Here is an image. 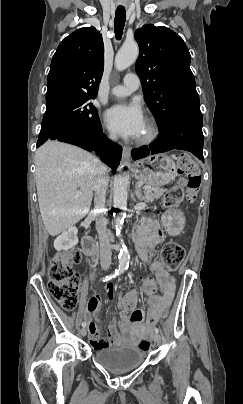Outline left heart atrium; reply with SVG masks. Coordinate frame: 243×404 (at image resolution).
I'll return each instance as SVG.
<instances>
[{
    "label": "left heart atrium",
    "instance_id": "1",
    "mask_svg": "<svg viewBox=\"0 0 243 404\" xmlns=\"http://www.w3.org/2000/svg\"><path fill=\"white\" fill-rule=\"evenodd\" d=\"M105 126L130 139H139L146 127L142 107L136 101L114 105L104 114Z\"/></svg>",
    "mask_w": 243,
    "mask_h": 404
}]
</instances>
